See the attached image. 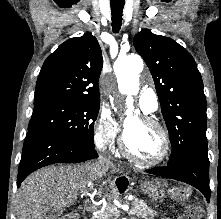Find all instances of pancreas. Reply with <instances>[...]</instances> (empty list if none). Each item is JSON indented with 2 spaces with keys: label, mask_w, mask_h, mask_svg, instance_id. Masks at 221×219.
<instances>
[{
  "label": "pancreas",
  "mask_w": 221,
  "mask_h": 219,
  "mask_svg": "<svg viewBox=\"0 0 221 219\" xmlns=\"http://www.w3.org/2000/svg\"><path fill=\"white\" fill-rule=\"evenodd\" d=\"M119 214L118 210H115L114 206L107 207L104 211L100 212L97 219H115L114 217ZM130 215H135L138 218L152 219L157 215V212L150 209L143 200L134 198L132 202V208Z\"/></svg>",
  "instance_id": "obj_1"
}]
</instances>
